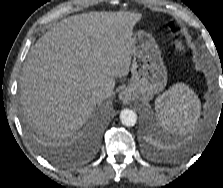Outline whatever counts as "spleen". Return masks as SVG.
Masks as SVG:
<instances>
[{
	"mask_svg": "<svg viewBox=\"0 0 223 188\" xmlns=\"http://www.w3.org/2000/svg\"><path fill=\"white\" fill-rule=\"evenodd\" d=\"M155 110L161 126L172 132L185 134L192 131L200 116V100L183 83L173 85L158 96Z\"/></svg>",
	"mask_w": 223,
	"mask_h": 188,
	"instance_id": "1",
	"label": "spleen"
}]
</instances>
